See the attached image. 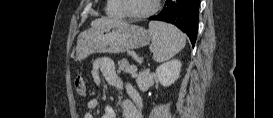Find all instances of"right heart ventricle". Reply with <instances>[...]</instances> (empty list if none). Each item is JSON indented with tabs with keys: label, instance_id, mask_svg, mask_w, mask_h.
<instances>
[{
	"label": "right heart ventricle",
	"instance_id": "e07e8e85",
	"mask_svg": "<svg viewBox=\"0 0 273 118\" xmlns=\"http://www.w3.org/2000/svg\"><path fill=\"white\" fill-rule=\"evenodd\" d=\"M105 11L110 16L123 17L125 12L121 7L120 0H108Z\"/></svg>",
	"mask_w": 273,
	"mask_h": 118
}]
</instances>
